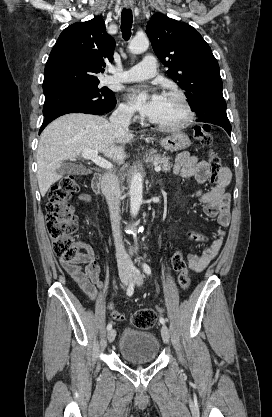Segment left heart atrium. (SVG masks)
Returning a JSON list of instances; mask_svg holds the SVG:
<instances>
[{
	"instance_id": "1",
	"label": "left heart atrium",
	"mask_w": 272,
	"mask_h": 417,
	"mask_svg": "<svg viewBox=\"0 0 272 417\" xmlns=\"http://www.w3.org/2000/svg\"><path fill=\"white\" fill-rule=\"evenodd\" d=\"M130 97L135 107L150 119L157 116L164 102V96L162 94L158 92H149L144 87L131 89Z\"/></svg>"
}]
</instances>
